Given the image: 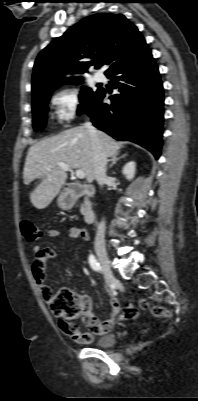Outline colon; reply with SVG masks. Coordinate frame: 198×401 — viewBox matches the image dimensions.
Instances as JSON below:
<instances>
[{
    "instance_id": "obj_1",
    "label": "colon",
    "mask_w": 198,
    "mask_h": 401,
    "mask_svg": "<svg viewBox=\"0 0 198 401\" xmlns=\"http://www.w3.org/2000/svg\"><path fill=\"white\" fill-rule=\"evenodd\" d=\"M21 233L28 241H36L41 237V231L35 224L34 220L30 217H25L20 222ZM50 301V308L52 313L57 316L64 318L66 324H71L70 321L75 318H81V320L87 325L94 319L92 314H85V310L82 306L80 298L68 289H61L55 295H51L45 298ZM139 306L141 309H149L154 316L157 317H168L169 311L161 305H150L145 299H140ZM138 315V309L133 306L125 307L119 319L129 320L133 319ZM77 328L72 326L69 329V334L73 336Z\"/></svg>"
}]
</instances>
